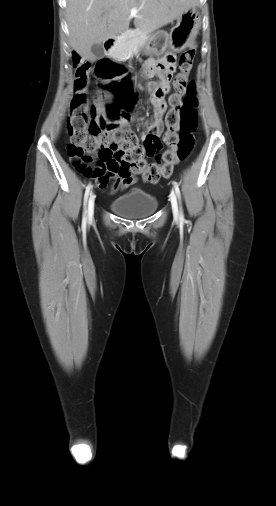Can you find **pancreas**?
Here are the masks:
<instances>
[{"label":"pancreas","mask_w":276,"mask_h":506,"mask_svg":"<svg viewBox=\"0 0 276 506\" xmlns=\"http://www.w3.org/2000/svg\"><path fill=\"white\" fill-rule=\"evenodd\" d=\"M151 29L127 30L117 39L109 55L114 59H126L133 48L143 47L149 39Z\"/></svg>","instance_id":"1"}]
</instances>
